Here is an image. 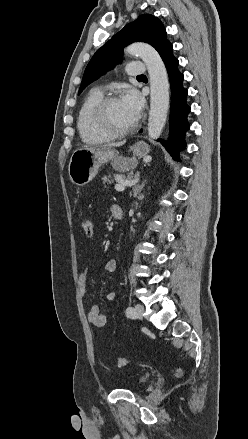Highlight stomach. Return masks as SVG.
<instances>
[{
  "mask_svg": "<svg viewBox=\"0 0 248 439\" xmlns=\"http://www.w3.org/2000/svg\"><path fill=\"white\" fill-rule=\"evenodd\" d=\"M131 150L136 157H144L149 153V146L139 141ZM117 151L108 146L79 148L76 149L70 158L68 173L70 180L77 186L88 184L97 174L99 167L109 161H116Z\"/></svg>",
  "mask_w": 248,
  "mask_h": 439,
  "instance_id": "1",
  "label": "stomach"
}]
</instances>
